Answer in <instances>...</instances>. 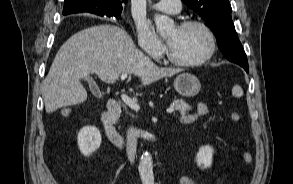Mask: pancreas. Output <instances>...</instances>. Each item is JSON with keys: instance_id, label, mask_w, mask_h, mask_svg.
Returning a JSON list of instances; mask_svg holds the SVG:
<instances>
[{"instance_id": "cf45deb5", "label": "pancreas", "mask_w": 293, "mask_h": 184, "mask_svg": "<svg viewBox=\"0 0 293 184\" xmlns=\"http://www.w3.org/2000/svg\"><path fill=\"white\" fill-rule=\"evenodd\" d=\"M175 110L179 111V113L184 116L187 114L188 111L192 109V107L183 101L182 99H176L172 103Z\"/></svg>"}]
</instances>
